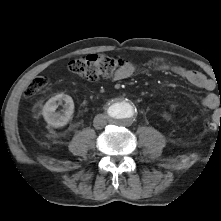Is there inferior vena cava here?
Listing matches in <instances>:
<instances>
[{"mask_svg":"<svg viewBox=\"0 0 221 221\" xmlns=\"http://www.w3.org/2000/svg\"><path fill=\"white\" fill-rule=\"evenodd\" d=\"M107 124L106 116L103 114H98L93 120V125L96 129H102Z\"/></svg>","mask_w":221,"mask_h":221,"instance_id":"602c4592","label":"inferior vena cava"}]
</instances>
